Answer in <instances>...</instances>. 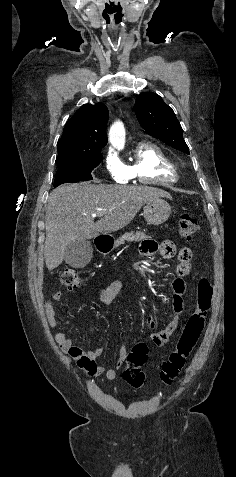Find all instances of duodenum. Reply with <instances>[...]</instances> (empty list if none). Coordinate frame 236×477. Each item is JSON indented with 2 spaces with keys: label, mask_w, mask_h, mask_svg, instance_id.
Returning a JSON list of instances; mask_svg holds the SVG:
<instances>
[{
  "label": "duodenum",
  "mask_w": 236,
  "mask_h": 477,
  "mask_svg": "<svg viewBox=\"0 0 236 477\" xmlns=\"http://www.w3.org/2000/svg\"><path fill=\"white\" fill-rule=\"evenodd\" d=\"M113 245V241L111 239H98L96 242V246L100 250H105L111 248Z\"/></svg>",
  "instance_id": "1"
}]
</instances>
